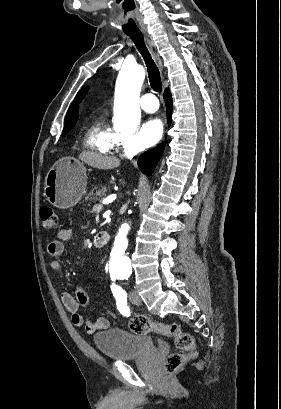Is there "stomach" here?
<instances>
[{"label":"stomach","instance_id":"obj_1","mask_svg":"<svg viewBox=\"0 0 281 409\" xmlns=\"http://www.w3.org/2000/svg\"><path fill=\"white\" fill-rule=\"evenodd\" d=\"M87 186L86 166L74 156L56 160L45 176L44 194L57 209H70L79 202Z\"/></svg>","mask_w":281,"mask_h":409}]
</instances>
